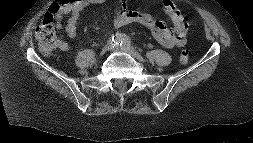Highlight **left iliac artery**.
Listing matches in <instances>:
<instances>
[{"label":"left iliac artery","mask_w":253,"mask_h":143,"mask_svg":"<svg viewBox=\"0 0 253 143\" xmlns=\"http://www.w3.org/2000/svg\"><path fill=\"white\" fill-rule=\"evenodd\" d=\"M121 47H131V41L128 37H123V40L120 44Z\"/></svg>","instance_id":"44dca946"}]
</instances>
